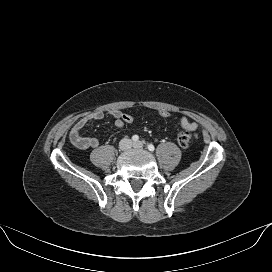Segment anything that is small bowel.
Instances as JSON below:
<instances>
[{
	"label": "small bowel",
	"instance_id": "small-bowel-1",
	"mask_svg": "<svg viewBox=\"0 0 272 272\" xmlns=\"http://www.w3.org/2000/svg\"><path fill=\"white\" fill-rule=\"evenodd\" d=\"M111 117L115 120L114 127L117 130H120L124 127L125 123L121 119L122 112L119 110L109 111ZM104 118L103 111H94L88 115L81 117L71 128L69 132V140L73 146L80 150H87L91 148H96L99 146L100 141L96 137H84L81 132L84 127L90 122L95 120H102ZM180 125L183 129H187L191 132L196 131L197 124L191 122L187 117H182L180 119Z\"/></svg>",
	"mask_w": 272,
	"mask_h": 272
}]
</instances>
